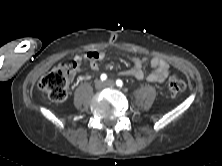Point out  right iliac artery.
<instances>
[{
  "label": "right iliac artery",
  "instance_id": "obj_1",
  "mask_svg": "<svg viewBox=\"0 0 222 166\" xmlns=\"http://www.w3.org/2000/svg\"><path fill=\"white\" fill-rule=\"evenodd\" d=\"M100 79H101L102 81H105V80L107 79V75L104 74V73L101 74Z\"/></svg>",
  "mask_w": 222,
  "mask_h": 166
}]
</instances>
